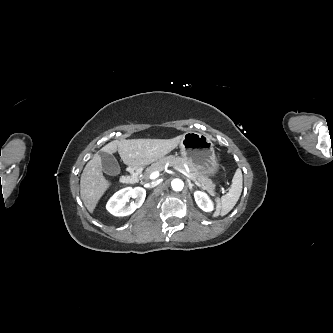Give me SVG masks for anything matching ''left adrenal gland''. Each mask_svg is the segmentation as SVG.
<instances>
[{
	"instance_id": "left-adrenal-gland-1",
	"label": "left adrenal gland",
	"mask_w": 333,
	"mask_h": 333,
	"mask_svg": "<svg viewBox=\"0 0 333 333\" xmlns=\"http://www.w3.org/2000/svg\"><path fill=\"white\" fill-rule=\"evenodd\" d=\"M187 182H188L189 189L192 190L193 187H195V185L192 184L191 181H190L189 179H187Z\"/></svg>"
}]
</instances>
